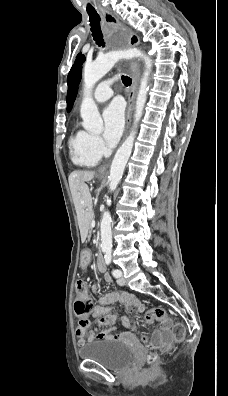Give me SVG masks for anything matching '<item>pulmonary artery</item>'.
<instances>
[{"label":"pulmonary artery","instance_id":"1","mask_svg":"<svg viewBox=\"0 0 228 396\" xmlns=\"http://www.w3.org/2000/svg\"><path fill=\"white\" fill-rule=\"evenodd\" d=\"M112 83L113 80L111 79L102 81L97 85L93 93V98L95 99V101L104 102L113 96L114 91L112 88Z\"/></svg>","mask_w":228,"mask_h":396}]
</instances>
